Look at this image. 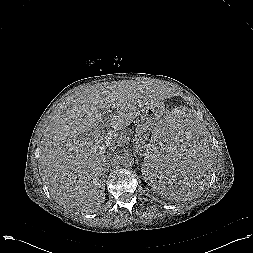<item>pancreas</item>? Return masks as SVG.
Returning <instances> with one entry per match:
<instances>
[{
  "label": "pancreas",
  "mask_w": 253,
  "mask_h": 253,
  "mask_svg": "<svg viewBox=\"0 0 253 253\" xmlns=\"http://www.w3.org/2000/svg\"><path fill=\"white\" fill-rule=\"evenodd\" d=\"M148 131H149V126L146 125L145 123L139 124L136 127V132L139 135L138 137L139 147L144 148L145 155H148V152H150V149L146 147V144H145V138H147Z\"/></svg>",
  "instance_id": "1"
}]
</instances>
